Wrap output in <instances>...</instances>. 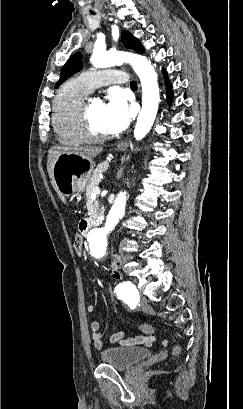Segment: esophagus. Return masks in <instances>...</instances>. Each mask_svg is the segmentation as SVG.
Here are the masks:
<instances>
[{
	"label": "esophagus",
	"mask_w": 243,
	"mask_h": 409,
	"mask_svg": "<svg viewBox=\"0 0 243 409\" xmlns=\"http://www.w3.org/2000/svg\"><path fill=\"white\" fill-rule=\"evenodd\" d=\"M124 146H125V143H124V142H121V143L118 144L117 147L120 149V148H123Z\"/></svg>",
	"instance_id": "esophagus-1"
}]
</instances>
